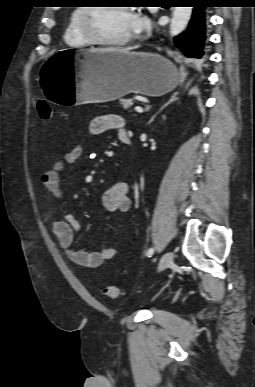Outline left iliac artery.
I'll return each mask as SVG.
<instances>
[{"label": "left iliac artery", "mask_w": 255, "mask_h": 387, "mask_svg": "<svg viewBox=\"0 0 255 387\" xmlns=\"http://www.w3.org/2000/svg\"><path fill=\"white\" fill-rule=\"evenodd\" d=\"M153 253H154V249H153V248H150V249H148V251L146 252V255H147V257H151V256L153 255Z\"/></svg>", "instance_id": "44dca946"}]
</instances>
